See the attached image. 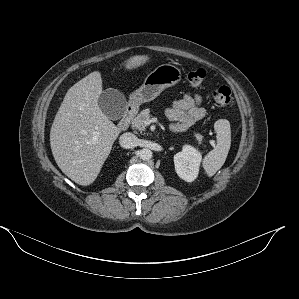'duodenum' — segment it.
Masks as SVG:
<instances>
[{
  "label": "duodenum",
  "mask_w": 299,
  "mask_h": 299,
  "mask_svg": "<svg viewBox=\"0 0 299 299\" xmlns=\"http://www.w3.org/2000/svg\"><path fill=\"white\" fill-rule=\"evenodd\" d=\"M132 114H133V107L128 106L121 120L118 123L119 129L125 130L128 127Z\"/></svg>",
  "instance_id": "1"
}]
</instances>
